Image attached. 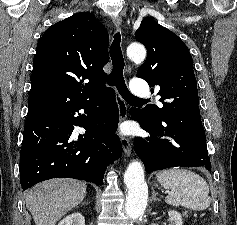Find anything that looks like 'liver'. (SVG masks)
<instances>
[{"label": "liver", "mask_w": 237, "mask_h": 225, "mask_svg": "<svg viewBox=\"0 0 237 225\" xmlns=\"http://www.w3.org/2000/svg\"><path fill=\"white\" fill-rule=\"evenodd\" d=\"M86 196V184L72 179H52L26 193V207L36 225H55Z\"/></svg>", "instance_id": "1"}]
</instances>
